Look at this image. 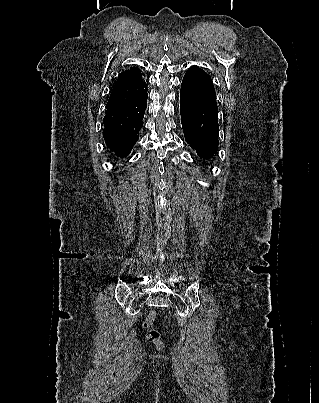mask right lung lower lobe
I'll use <instances>...</instances> for the list:
<instances>
[{"label":"right lung lower lobe","mask_w":319,"mask_h":403,"mask_svg":"<svg viewBox=\"0 0 319 403\" xmlns=\"http://www.w3.org/2000/svg\"><path fill=\"white\" fill-rule=\"evenodd\" d=\"M147 91L126 103L107 107L103 119V137L117 156L126 157L137 142L147 107Z\"/></svg>","instance_id":"98d812e1"}]
</instances>
